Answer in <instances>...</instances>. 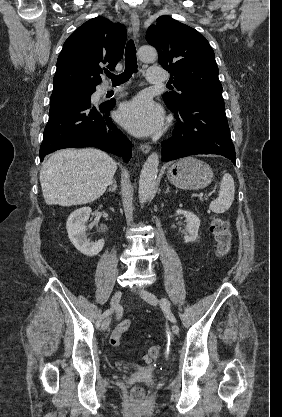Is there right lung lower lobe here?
<instances>
[{"label":"right lung lower lobe","instance_id":"1","mask_svg":"<svg viewBox=\"0 0 282 417\" xmlns=\"http://www.w3.org/2000/svg\"><path fill=\"white\" fill-rule=\"evenodd\" d=\"M114 106L115 102L94 105L91 96L50 105L40 160L59 149L90 146L122 156L128 162L132 144L109 117Z\"/></svg>","mask_w":282,"mask_h":417}]
</instances>
